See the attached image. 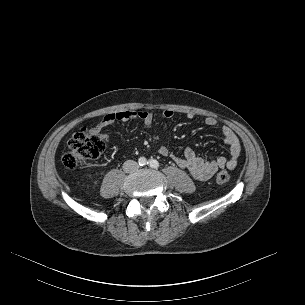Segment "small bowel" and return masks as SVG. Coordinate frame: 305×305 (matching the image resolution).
<instances>
[{
    "label": "small bowel",
    "mask_w": 305,
    "mask_h": 305,
    "mask_svg": "<svg viewBox=\"0 0 305 305\" xmlns=\"http://www.w3.org/2000/svg\"><path fill=\"white\" fill-rule=\"evenodd\" d=\"M162 118L169 119L174 116V112L166 109L161 113ZM187 119H193L192 112L186 113ZM130 119H139L145 128H148L153 123V115L148 111H133L123 110L107 114L96 126L92 128L95 132H101L109 125L116 122H124ZM204 124L208 127L217 125V120L214 117L206 116L203 119ZM221 136L223 141L229 147V157H217L213 160L206 161L198 157L191 148H185L181 155L172 153L167 147L161 146L158 153L162 156L172 157L176 164L189 172L196 180L205 181L212 178L220 169H234L238 163L241 154V143L237 135L228 127L222 126Z\"/></svg>",
    "instance_id": "1"
}]
</instances>
